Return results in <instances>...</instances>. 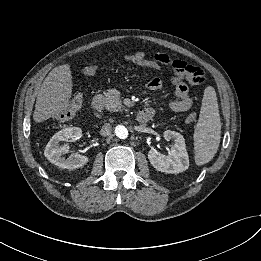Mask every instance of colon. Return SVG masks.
<instances>
[{
  "instance_id": "obj_1",
  "label": "colon",
  "mask_w": 261,
  "mask_h": 261,
  "mask_svg": "<svg viewBox=\"0 0 261 261\" xmlns=\"http://www.w3.org/2000/svg\"><path fill=\"white\" fill-rule=\"evenodd\" d=\"M174 73L182 79L187 80L191 84L198 85L203 84L206 81L204 71L197 66L187 63L181 59H171L167 64ZM147 68H156L158 64L153 61H147L145 63ZM84 101V96L82 93H75L69 103L55 114L57 119H66L70 116H74L82 107ZM194 115L189 116L188 120L192 121Z\"/></svg>"
}]
</instances>
